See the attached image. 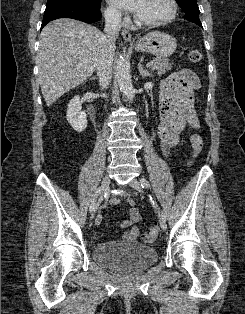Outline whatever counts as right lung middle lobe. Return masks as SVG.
I'll use <instances>...</instances> for the list:
<instances>
[{
    "mask_svg": "<svg viewBox=\"0 0 245 314\" xmlns=\"http://www.w3.org/2000/svg\"><path fill=\"white\" fill-rule=\"evenodd\" d=\"M101 0H47V6L52 4L59 3H71V4H79L85 5L88 7H99Z\"/></svg>",
    "mask_w": 245,
    "mask_h": 314,
    "instance_id": "1",
    "label": "right lung middle lobe"
}]
</instances>
